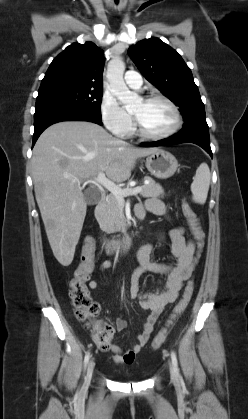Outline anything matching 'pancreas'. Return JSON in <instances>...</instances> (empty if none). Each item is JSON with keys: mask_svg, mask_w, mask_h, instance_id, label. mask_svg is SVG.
I'll use <instances>...</instances> for the list:
<instances>
[{"mask_svg": "<svg viewBox=\"0 0 248 419\" xmlns=\"http://www.w3.org/2000/svg\"><path fill=\"white\" fill-rule=\"evenodd\" d=\"M144 180L149 181L148 184L142 185L140 194L143 197H163L164 190L162 186L155 182L151 177L145 176ZM130 188L128 185L126 188ZM123 201L117 199L113 194H110L105 201L102 209L99 224L103 231L107 234L120 232L125 224V219L122 216Z\"/></svg>", "mask_w": 248, "mask_h": 419, "instance_id": "1", "label": "pancreas"}]
</instances>
